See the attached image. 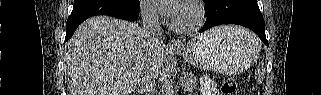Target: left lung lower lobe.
Here are the masks:
<instances>
[{"mask_svg": "<svg viewBox=\"0 0 321 95\" xmlns=\"http://www.w3.org/2000/svg\"><path fill=\"white\" fill-rule=\"evenodd\" d=\"M205 13L207 19L200 32L221 24H238L253 30L269 46L257 0H207Z\"/></svg>", "mask_w": 321, "mask_h": 95, "instance_id": "obj_1", "label": "left lung lower lobe"}]
</instances>
